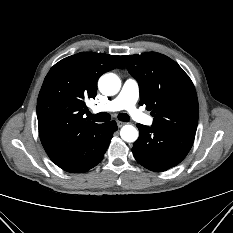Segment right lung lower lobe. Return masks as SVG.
<instances>
[{
	"label": "right lung lower lobe",
	"instance_id": "right-lung-lower-lobe-1",
	"mask_svg": "<svg viewBox=\"0 0 233 233\" xmlns=\"http://www.w3.org/2000/svg\"><path fill=\"white\" fill-rule=\"evenodd\" d=\"M116 130H117V125L115 121H110L101 124V127L98 130V134L95 137L94 151L92 155L87 159V161L77 165L59 166V167L71 173H82L93 168L102 160L104 153L106 152L110 140L112 138V134Z\"/></svg>",
	"mask_w": 233,
	"mask_h": 233
}]
</instances>
